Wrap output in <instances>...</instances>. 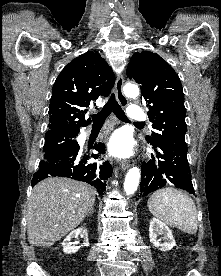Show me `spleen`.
Segmentation results:
<instances>
[{
    "instance_id": "spleen-1",
    "label": "spleen",
    "mask_w": 221,
    "mask_h": 276,
    "mask_svg": "<svg viewBox=\"0 0 221 276\" xmlns=\"http://www.w3.org/2000/svg\"><path fill=\"white\" fill-rule=\"evenodd\" d=\"M149 211L171 227L188 234L197 232V210L185 193L171 187L154 192L147 203Z\"/></svg>"
}]
</instances>
